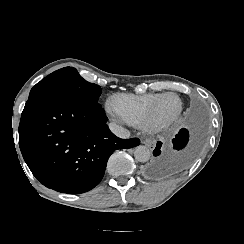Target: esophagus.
I'll return each mask as SVG.
<instances>
[{"mask_svg":"<svg viewBox=\"0 0 244 244\" xmlns=\"http://www.w3.org/2000/svg\"><path fill=\"white\" fill-rule=\"evenodd\" d=\"M144 145H146L150 150H153L156 144V140L154 138H146L141 141Z\"/></svg>","mask_w":244,"mask_h":244,"instance_id":"1","label":"esophagus"}]
</instances>
